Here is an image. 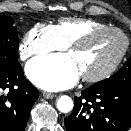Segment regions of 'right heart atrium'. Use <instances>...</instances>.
<instances>
[{"label":"right heart atrium","mask_w":131,"mask_h":131,"mask_svg":"<svg viewBox=\"0 0 131 131\" xmlns=\"http://www.w3.org/2000/svg\"><path fill=\"white\" fill-rule=\"evenodd\" d=\"M64 48L65 46L59 40L53 26L38 23L24 35L19 46V52L21 58L26 60Z\"/></svg>","instance_id":"right-heart-atrium-1"}]
</instances>
